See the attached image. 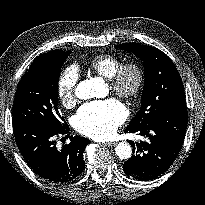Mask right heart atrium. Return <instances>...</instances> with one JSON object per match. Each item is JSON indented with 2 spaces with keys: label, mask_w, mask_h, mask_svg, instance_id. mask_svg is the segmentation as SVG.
I'll use <instances>...</instances> for the list:
<instances>
[{
  "label": "right heart atrium",
  "mask_w": 205,
  "mask_h": 205,
  "mask_svg": "<svg viewBox=\"0 0 205 205\" xmlns=\"http://www.w3.org/2000/svg\"><path fill=\"white\" fill-rule=\"evenodd\" d=\"M79 72L75 66L67 67L57 81V95L65 107H70L76 102V87Z\"/></svg>",
  "instance_id": "1"
}]
</instances>
